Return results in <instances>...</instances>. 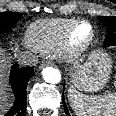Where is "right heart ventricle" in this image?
<instances>
[{
    "mask_svg": "<svg viewBox=\"0 0 116 116\" xmlns=\"http://www.w3.org/2000/svg\"><path fill=\"white\" fill-rule=\"evenodd\" d=\"M76 19L52 18L31 23L25 31V44L32 50L47 54L55 50L64 32Z\"/></svg>",
    "mask_w": 116,
    "mask_h": 116,
    "instance_id": "right-heart-ventricle-1",
    "label": "right heart ventricle"
}]
</instances>
